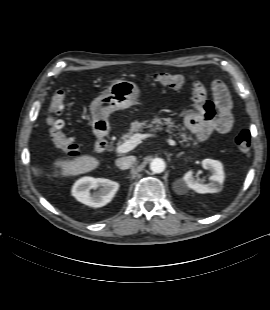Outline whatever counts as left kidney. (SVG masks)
I'll list each match as a JSON object with an SVG mask.
<instances>
[{
    "label": "left kidney",
    "mask_w": 270,
    "mask_h": 310,
    "mask_svg": "<svg viewBox=\"0 0 270 310\" xmlns=\"http://www.w3.org/2000/svg\"><path fill=\"white\" fill-rule=\"evenodd\" d=\"M202 167L209 170L211 174L209 177L210 182L206 184L199 183L193 176L194 172L189 170L182 178L185 186L200 194L220 192L223 188L225 177L223 165L217 160L204 159L202 161Z\"/></svg>",
    "instance_id": "left-kidney-1"
}]
</instances>
